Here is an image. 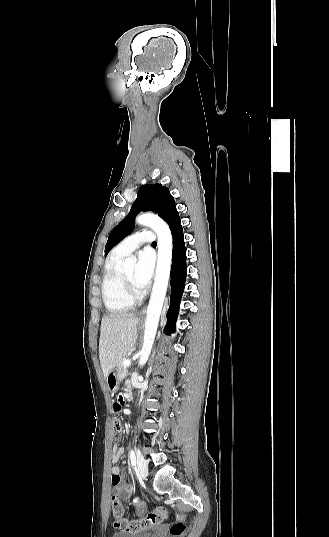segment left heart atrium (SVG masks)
<instances>
[{
  "label": "left heart atrium",
  "mask_w": 329,
  "mask_h": 537,
  "mask_svg": "<svg viewBox=\"0 0 329 537\" xmlns=\"http://www.w3.org/2000/svg\"><path fill=\"white\" fill-rule=\"evenodd\" d=\"M154 269V258L147 250L138 253L134 284L138 291L143 292L148 287Z\"/></svg>",
  "instance_id": "39dd6f15"
}]
</instances>
